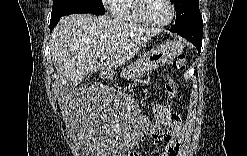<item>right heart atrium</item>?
I'll return each instance as SVG.
<instances>
[{
  "label": "right heart atrium",
  "instance_id": "d8ad5b80",
  "mask_svg": "<svg viewBox=\"0 0 247 156\" xmlns=\"http://www.w3.org/2000/svg\"><path fill=\"white\" fill-rule=\"evenodd\" d=\"M104 3L105 5L112 6L115 3V1L107 0Z\"/></svg>",
  "mask_w": 247,
  "mask_h": 156
}]
</instances>
